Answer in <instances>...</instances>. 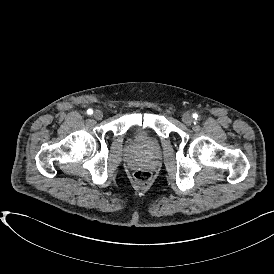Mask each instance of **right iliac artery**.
I'll use <instances>...</instances> for the list:
<instances>
[{"instance_id": "obj_1", "label": "right iliac artery", "mask_w": 274, "mask_h": 274, "mask_svg": "<svg viewBox=\"0 0 274 274\" xmlns=\"http://www.w3.org/2000/svg\"><path fill=\"white\" fill-rule=\"evenodd\" d=\"M87 113H88L89 115H91V114H93V110H92V109H88V110H87Z\"/></svg>"}]
</instances>
